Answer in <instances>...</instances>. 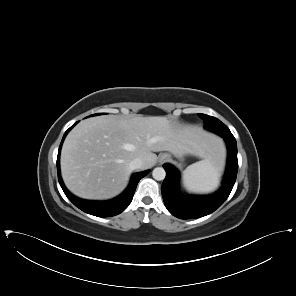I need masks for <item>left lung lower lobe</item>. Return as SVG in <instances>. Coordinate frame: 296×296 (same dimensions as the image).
Listing matches in <instances>:
<instances>
[{"label":"left lung lower lobe","mask_w":296,"mask_h":296,"mask_svg":"<svg viewBox=\"0 0 296 296\" xmlns=\"http://www.w3.org/2000/svg\"><path fill=\"white\" fill-rule=\"evenodd\" d=\"M228 148L227 167L222 187L208 196H185L178 189L179 172L170 164H164L166 178L161 191L168 211L181 219H192L206 216L214 212L228 198L238 171L237 144L233 135L222 136Z\"/></svg>","instance_id":"0a47b994"}]
</instances>
